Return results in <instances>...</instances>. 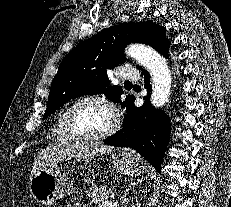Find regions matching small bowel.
I'll use <instances>...</instances> for the list:
<instances>
[{
  "instance_id": "small-bowel-1",
  "label": "small bowel",
  "mask_w": 231,
  "mask_h": 207,
  "mask_svg": "<svg viewBox=\"0 0 231 207\" xmlns=\"http://www.w3.org/2000/svg\"><path fill=\"white\" fill-rule=\"evenodd\" d=\"M71 207H83V206L80 205V204H75V205H73V206H71Z\"/></svg>"
}]
</instances>
